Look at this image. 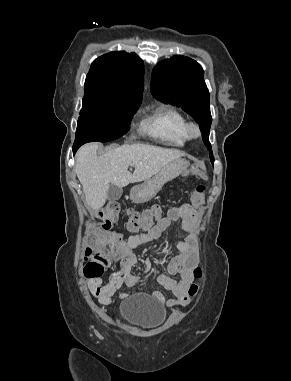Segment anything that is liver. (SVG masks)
Returning <instances> with one entry per match:
<instances>
[{"label": "liver", "mask_w": 291, "mask_h": 381, "mask_svg": "<svg viewBox=\"0 0 291 381\" xmlns=\"http://www.w3.org/2000/svg\"><path fill=\"white\" fill-rule=\"evenodd\" d=\"M97 143L82 146L76 155V174L83 186L87 204L94 210L102 208L111 185L120 188L129 183L150 179L175 159L184 156L176 149L147 144L122 145L97 156ZM135 167L134 173L128 171Z\"/></svg>", "instance_id": "1"}]
</instances>
